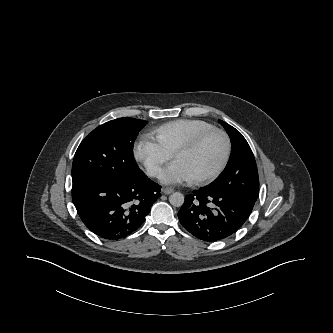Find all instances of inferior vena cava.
Listing matches in <instances>:
<instances>
[{"instance_id": "602c4592", "label": "inferior vena cava", "mask_w": 333, "mask_h": 333, "mask_svg": "<svg viewBox=\"0 0 333 333\" xmlns=\"http://www.w3.org/2000/svg\"><path fill=\"white\" fill-rule=\"evenodd\" d=\"M147 174L149 176H156L159 177L161 176V169L158 167H151L147 169Z\"/></svg>"}]
</instances>
